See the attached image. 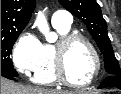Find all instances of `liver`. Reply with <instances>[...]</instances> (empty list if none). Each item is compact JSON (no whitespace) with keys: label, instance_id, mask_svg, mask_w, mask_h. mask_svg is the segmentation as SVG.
<instances>
[{"label":"liver","instance_id":"6515ba94","mask_svg":"<svg viewBox=\"0 0 121 94\" xmlns=\"http://www.w3.org/2000/svg\"><path fill=\"white\" fill-rule=\"evenodd\" d=\"M1 94H89V93L85 91L68 92V91L36 88L32 86H24L16 84L6 78L1 77Z\"/></svg>","mask_w":121,"mask_h":94}]
</instances>
